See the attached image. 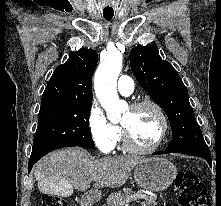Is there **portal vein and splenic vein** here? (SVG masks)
I'll return each mask as SVG.
<instances>
[{
	"instance_id": "18ae733b",
	"label": "portal vein and splenic vein",
	"mask_w": 221,
	"mask_h": 206,
	"mask_svg": "<svg viewBox=\"0 0 221 206\" xmlns=\"http://www.w3.org/2000/svg\"><path fill=\"white\" fill-rule=\"evenodd\" d=\"M140 198H142L141 195L131 196V197H129V198H127V199L125 200V204H128V203H130L131 201L138 200V199H140ZM126 206H127V205H126Z\"/></svg>"
}]
</instances>
